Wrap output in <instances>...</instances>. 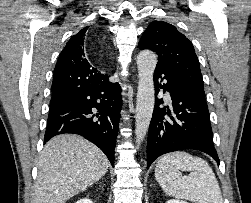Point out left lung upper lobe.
<instances>
[{"mask_svg":"<svg viewBox=\"0 0 251 203\" xmlns=\"http://www.w3.org/2000/svg\"><path fill=\"white\" fill-rule=\"evenodd\" d=\"M139 48L156 52L159 56L157 67L181 77L200 95L205 96L194 47L175 26L163 21L151 22L140 39Z\"/></svg>","mask_w":251,"mask_h":203,"instance_id":"obj_1","label":"left lung upper lobe"}]
</instances>
